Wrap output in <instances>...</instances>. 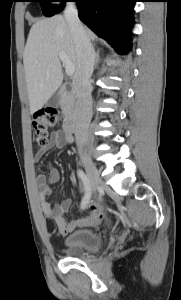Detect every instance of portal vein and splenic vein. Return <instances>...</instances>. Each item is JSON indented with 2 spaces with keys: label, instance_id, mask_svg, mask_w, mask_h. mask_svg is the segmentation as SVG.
I'll list each match as a JSON object with an SVG mask.
<instances>
[{
  "label": "portal vein and splenic vein",
  "instance_id": "portal-vein-and-splenic-vein-1",
  "mask_svg": "<svg viewBox=\"0 0 181 300\" xmlns=\"http://www.w3.org/2000/svg\"><path fill=\"white\" fill-rule=\"evenodd\" d=\"M59 58L65 66V72L68 76H72L75 72L74 64L69 60L67 55L63 52L59 53Z\"/></svg>",
  "mask_w": 181,
  "mask_h": 300
}]
</instances>
